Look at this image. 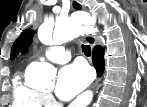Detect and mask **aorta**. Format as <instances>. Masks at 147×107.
Segmentation results:
<instances>
[{
    "mask_svg": "<svg viewBox=\"0 0 147 107\" xmlns=\"http://www.w3.org/2000/svg\"><path fill=\"white\" fill-rule=\"evenodd\" d=\"M97 30L86 24V19H73L66 22L59 21L56 23L53 33V44L59 45L78 36L95 33ZM39 39L44 41L47 37L46 31L40 29L38 32ZM56 75V69L46 62H33L28 67V83L32 86L41 88H51L54 86L53 79Z\"/></svg>",
    "mask_w": 147,
    "mask_h": 107,
    "instance_id": "762f6f07",
    "label": "aorta"
}]
</instances>
